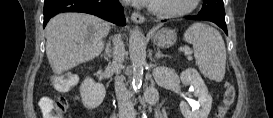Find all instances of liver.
I'll return each mask as SVG.
<instances>
[{
    "label": "liver",
    "mask_w": 273,
    "mask_h": 118,
    "mask_svg": "<svg viewBox=\"0 0 273 118\" xmlns=\"http://www.w3.org/2000/svg\"><path fill=\"white\" fill-rule=\"evenodd\" d=\"M110 23L90 14L61 13L46 26V55L55 75L92 60L103 48Z\"/></svg>",
    "instance_id": "obj_1"
}]
</instances>
